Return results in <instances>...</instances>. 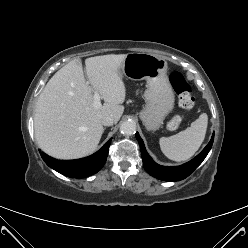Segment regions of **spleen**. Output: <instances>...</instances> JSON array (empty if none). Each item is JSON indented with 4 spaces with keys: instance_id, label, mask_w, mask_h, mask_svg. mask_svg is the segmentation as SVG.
Wrapping results in <instances>:
<instances>
[{
    "instance_id": "spleen-1",
    "label": "spleen",
    "mask_w": 248,
    "mask_h": 248,
    "mask_svg": "<svg viewBox=\"0 0 248 248\" xmlns=\"http://www.w3.org/2000/svg\"><path fill=\"white\" fill-rule=\"evenodd\" d=\"M208 124V116L202 113L191 126L170 137L159 140L163 154L173 161H186L200 148L204 141Z\"/></svg>"
}]
</instances>
